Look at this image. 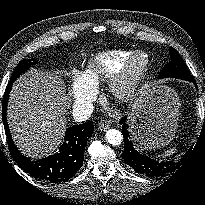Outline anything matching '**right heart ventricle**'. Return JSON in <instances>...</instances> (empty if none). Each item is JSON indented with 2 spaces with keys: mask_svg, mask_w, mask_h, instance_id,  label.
<instances>
[{
  "mask_svg": "<svg viewBox=\"0 0 205 205\" xmlns=\"http://www.w3.org/2000/svg\"><path fill=\"white\" fill-rule=\"evenodd\" d=\"M134 52L133 50L99 52L88 60L80 72V79L84 84L96 87L112 77Z\"/></svg>",
  "mask_w": 205,
  "mask_h": 205,
  "instance_id": "1",
  "label": "right heart ventricle"
}]
</instances>
